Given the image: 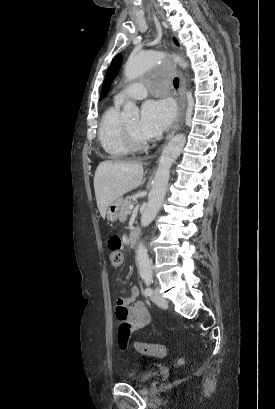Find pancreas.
Returning a JSON list of instances; mask_svg holds the SVG:
<instances>
[{"instance_id": "pancreas-1", "label": "pancreas", "mask_w": 275, "mask_h": 409, "mask_svg": "<svg viewBox=\"0 0 275 409\" xmlns=\"http://www.w3.org/2000/svg\"><path fill=\"white\" fill-rule=\"evenodd\" d=\"M131 202H133L132 196H126V198L123 200V205H121V209L119 211V221H121V223L127 219L129 205H131Z\"/></svg>"}]
</instances>
